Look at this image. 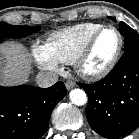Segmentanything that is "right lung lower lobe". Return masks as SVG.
Segmentation results:
<instances>
[{
	"label": "right lung lower lobe",
	"instance_id": "right-lung-lower-lobe-1",
	"mask_svg": "<svg viewBox=\"0 0 139 139\" xmlns=\"http://www.w3.org/2000/svg\"><path fill=\"white\" fill-rule=\"evenodd\" d=\"M66 94L63 82L49 88L0 86V139L40 138L53 108Z\"/></svg>",
	"mask_w": 139,
	"mask_h": 139
}]
</instances>
